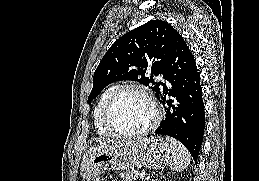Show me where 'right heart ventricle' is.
Segmentation results:
<instances>
[{
  "instance_id": "right-heart-ventricle-1",
  "label": "right heart ventricle",
  "mask_w": 259,
  "mask_h": 181,
  "mask_svg": "<svg viewBox=\"0 0 259 181\" xmlns=\"http://www.w3.org/2000/svg\"><path fill=\"white\" fill-rule=\"evenodd\" d=\"M115 88H116L115 86H110L100 94L92 112V119H93L95 130L100 136H103V137L112 136V133L105 127L103 123L102 114H103L104 105Z\"/></svg>"
}]
</instances>
